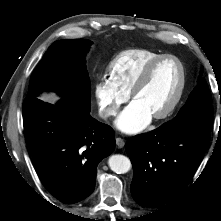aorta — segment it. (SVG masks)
<instances>
[{
    "label": "aorta",
    "instance_id": "aorta-1",
    "mask_svg": "<svg viewBox=\"0 0 221 221\" xmlns=\"http://www.w3.org/2000/svg\"><path fill=\"white\" fill-rule=\"evenodd\" d=\"M108 165L110 169L117 174L127 173L131 168L129 158L120 154L110 156Z\"/></svg>",
    "mask_w": 221,
    "mask_h": 221
}]
</instances>
